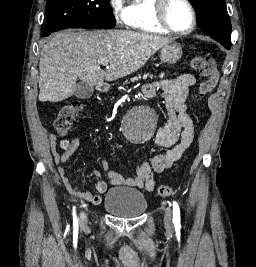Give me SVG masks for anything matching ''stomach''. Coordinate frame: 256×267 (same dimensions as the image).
<instances>
[{"label":"stomach","instance_id":"obj_1","mask_svg":"<svg viewBox=\"0 0 256 267\" xmlns=\"http://www.w3.org/2000/svg\"><path fill=\"white\" fill-rule=\"evenodd\" d=\"M183 54V50L180 44L177 42H169V44H164L160 50V60L164 64H176L180 60Z\"/></svg>","mask_w":256,"mask_h":267}]
</instances>
